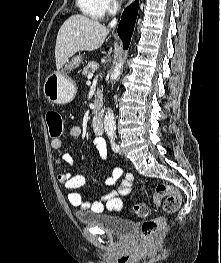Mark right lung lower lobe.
<instances>
[{
    "label": "right lung lower lobe",
    "instance_id": "obj_1",
    "mask_svg": "<svg viewBox=\"0 0 221 263\" xmlns=\"http://www.w3.org/2000/svg\"><path fill=\"white\" fill-rule=\"evenodd\" d=\"M138 4L139 1L135 0V2L127 7L123 14L121 21L118 25V35L123 41V48L128 49L129 43L131 40V36L134 30V25L136 22L137 14H138Z\"/></svg>",
    "mask_w": 221,
    "mask_h": 263
}]
</instances>
